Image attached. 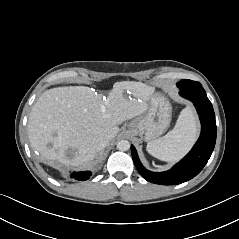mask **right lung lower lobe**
<instances>
[{
  "label": "right lung lower lobe",
  "mask_w": 239,
  "mask_h": 239,
  "mask_svg": "<svg viewBox=\"0 0 239 239\" xmlns=\"http://www.w3.org/2000/svg\"><path fill=\"white\" fill-rule=\"evenodd\" d=\"M72 176L76 179V180H81V181H84V180H87L90 176H91V172L90 171H87V172H74L72 174Z\"/></svg>",
  "instance_id": "obj_1"
}]
</instances>
